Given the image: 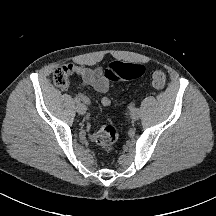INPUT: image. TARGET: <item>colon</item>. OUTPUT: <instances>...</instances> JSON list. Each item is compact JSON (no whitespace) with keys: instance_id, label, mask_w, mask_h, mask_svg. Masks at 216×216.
Wrapping results in <instances>:
<instances>
[{"instance_id":"colon-1","label":"colon","mask_w":216,"mask_h":216,"mask_svg":"<svg viewBox=\"0 0 216 216\" xmlns=\"http://www.w3.org/2000/svg\"><path fill=\"white\" fill-rule=\"evenodd\" d=\"M144 72V66L135 63H124L120 61L111 62L104 70V78L111 84L121 80L135 79ZM72 70L69 65L58 67L53 73V82L59 87H66ZM152 84L156 89H163L166 84V74L161 70H155L152 74ZM118 130L112 124L103 125L95 135V142L106 152H110L117 140Z\"/></svg>"}]
</instances>
